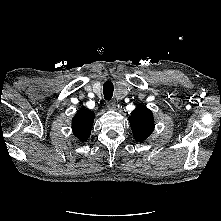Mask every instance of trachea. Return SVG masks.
Segmentation results:
<instances>
[{
    "instance_id": "3493384b",
    "label": "trachea",
    "mask_w": 221,
    "mask_h": 221,
    "mask_svg": "<svg viewBox=\"0 0 221 221\" xmlns=\"http://www.w3.org/2000/svg\"><path fill=\"white\" fill-rule=\"evenodd\" d=\"M113 90H114V87H113V83L111 81H106L103 85V94H104V98L106 100H111L112 99V96H113Z\"/></svg>"
}]
</instances>
